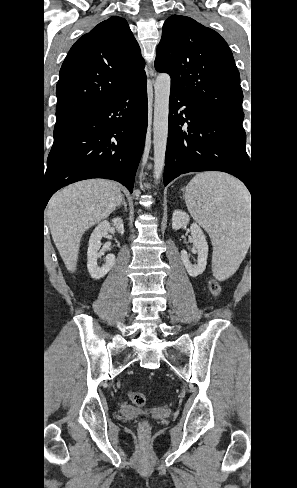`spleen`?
Instances as JSON below:
<instances>
[{
    "mask_svg": "<svg viewBox=\"0 0 297 488\" xmlns=\"http://www.w3.org/2000/svg\"><path fill=\"white\" fill-rule=\"evenodd\" d=\"M187 208L208 232L224 276L234 273L246 255L249 193L237 179L223 173L197 174L185 191ZM214 267L216 261L214 260Z\"/></svg>",
    "mask_w": 297,
    "mask_h": 488,
    "instance_id": "spleen-1",
    "label": "spleen"
}]
</instances>
